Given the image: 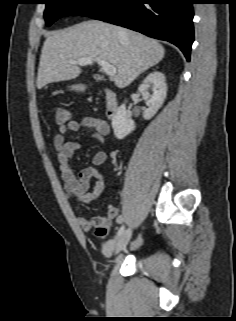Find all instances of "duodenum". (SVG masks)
<instances>
[{
	"label": "duodenum",
	"instance_id": "obj_1",
	"mask_svg": "<svg viewBox=\"0 0 236 321\" xmlns=\"http://www.w3.org/2000/svg\"><path fill=\"white\" fill-rule=\"evenodd\" d=\"M106 113L109 118L115 117L119 104L116 93L110 88H104Z\"/></svg>",
	"mask_w": 236,
	"mask_h": 321
}]
</instances>
